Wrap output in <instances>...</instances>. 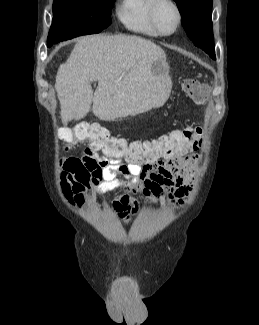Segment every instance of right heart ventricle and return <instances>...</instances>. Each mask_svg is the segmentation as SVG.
<instances>
[{
    "instance_id": "right-heart-ventricle-1",
    "label": "right heart ventricle",
    "mask_w": 259,
    "mask_h": 325,
    "mask_svg": "<svg viewBox=\"0 0 259 325\" xmlns=\"http://www.w3.org/2000/svg\"><path fill=\"white\" fill-rule=\"evenodd\" d=\"M152 0H121L116 14L121 23L129 30L148 36H159L149 19Z\"/></svg>"
}]
</instances>
